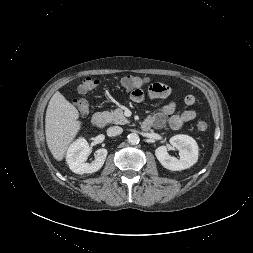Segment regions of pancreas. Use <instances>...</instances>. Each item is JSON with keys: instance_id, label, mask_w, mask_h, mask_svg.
I'll return each instance as SVG.
<instances>
[{"instance_id": "obj_1", "label": "pancreas", "mask_w": 253, "mask_h": 253, "mask_svg": "<svg viewBox=\"0 0 253 253\" xmlns=\"http://www.w3.org/2000/svg\"><path fill=\"white\" fill-rule=\"evenodd\" d=\"M102 115L107 123L120 125L129 123L128 119L124 116L123 111L120 108H117L112 112L104 111Z\"/></svg>"}]
</instances>
